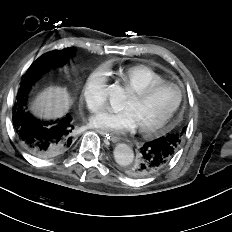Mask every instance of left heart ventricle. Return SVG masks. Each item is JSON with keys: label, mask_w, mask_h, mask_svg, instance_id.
<instances>
[{"label": "left heart ventricle", "mask_w": 232, "mask_h": 232, "mask_svg": "<svg viewBox=\"0 0 232 232\" xmlns=\"http://www.w3.org/2000/svg\"><path fill=\"white\" fill-rule=\"evenodd\" d=\"M178 91L174 87H164L156 90L143 100H138L130 94L122 110L129 111L138 127L148 126L161 120L175 104Z\"/></svg>", "instance_id": "b2bd125f"}]
</instances>
